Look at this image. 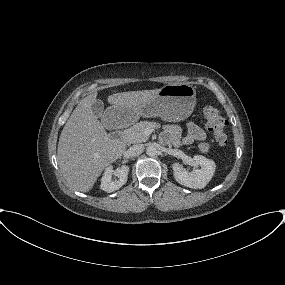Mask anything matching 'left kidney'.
I'll list each match as a JSON object with an SVG mask.
<instances>
[{
    "mask_svg": "<svg viewBox=\"0 0 285 285\" xmlns=\"http://www.w3.org/2000/svg\"><path fill=\"white\" fill-rule=\"evenodd\" d=\"M192 164L196 169L188 172L179 163H174L172 165L174 178L179 184L186 187L202 189L214 175L216 169L215 162L202 155H195L192 159ZM198 166L201 168L198 169Z\"/></svg>",
    "mask_w": 285,
    "mask_h": 285,
    "instance_id": "1",
    "label": "left kidney"
}]
</instances>
